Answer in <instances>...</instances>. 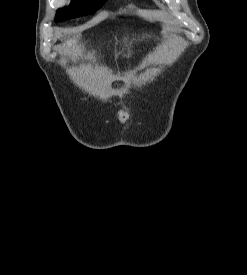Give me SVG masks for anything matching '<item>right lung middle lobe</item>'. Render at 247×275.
I'll return each mask as SVG.
<instances>
[{
    "instance_id": "obj_1",
    "label": "right lung middle lobe",
    "mask_w": 247,
    "mask_h": 275,
    "mask_svg": "<svg viewBox=\"0 0 247 275\" xmlns=\"http://www.w3.org/2000/svg\"><path fill=\"white\" fill-rule=\"evenodd\" d=\"M105 0H73L67 8L57 11L56 19L65 20L95 12Z\"/></svg>"
}]
</instances>
